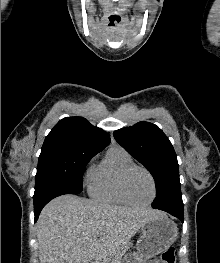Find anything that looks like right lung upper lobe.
<instances>
[{
	"mask_svg": "<svg viewBox=\"0 0 220 263\" xmlns=\"http://www.w3.org/2000/svg\"><path fill=\"white\" fill-rule=\"evenodd\" d=\"M109 143L108 134L91 125L85 118L66 117L47 135L42 151L73 150L98 153Z\"/></svg>",
	"mask_w": 220,
	"mask_h": 263,
	"instance_id": "1",
	"label": "right lung upper lobe"
}]
</instances>
